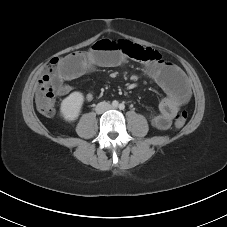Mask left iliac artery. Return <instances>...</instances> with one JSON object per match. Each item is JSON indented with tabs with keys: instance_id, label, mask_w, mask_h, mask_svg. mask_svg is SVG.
I'll return each instance as SVG.
<instances>
[{
	"instance_id": "44dca946",
	"label": "left iliac artery",
	"mask_w": 227,
	"mask_h": 227,
	"mask_svg": "<svg viewBox=\"0 0 227 227\" xmlns=\"http://www.w3.org/2000/svg\"><path fill=\"white\" fill-rule=\"evenodd\" d=\"M125 108V105L123 104V103H121L120 105H119V109L120 110H123Z\"/></svg>"
}]
</instances>
